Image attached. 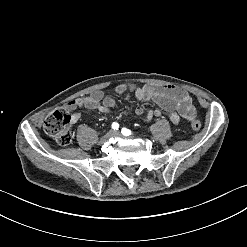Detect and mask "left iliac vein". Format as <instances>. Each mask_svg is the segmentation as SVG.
<instances>
[{
	"label": "left iliac vein",
	"instance_id": "obj_1",
	"mask_svg": "<svg viewBox=\"0 0 247 247\" xmlns=\"http://www.w3.org/2000/svg\"><path fill=\"white\" fill-rule=\"evenodd\" d=\"M114 136L122 137V134H121V132H119V131H115V132H114ZM129 138L131 139L132 137H129Z\"/></svg>",
	"mask_w": 247,
	"mask_h": 247
}]
</instances>
